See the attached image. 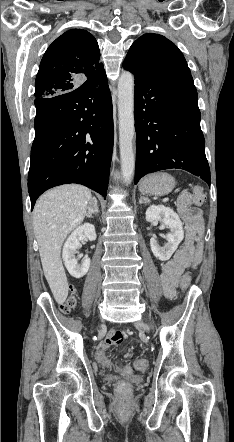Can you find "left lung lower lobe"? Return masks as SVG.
<instances>
[{
  "mask_svg": "<svg viewBox=\"0 0 234 442\" xmlns=\"http://www.w3.org/2000/svg\"><path fill=\"white\" fill-rule=\"evenodd\" d=\"M135 76V184L148 173L179 168L210 186V170L200 128L197 91L190 73L143 72Z\"/></svg>",
  "mask_w": 234,
  "mask_h": 442,
  "instance_id": "0a47b994",
  "label": "left lung lower lobe"
}]
</instances>
